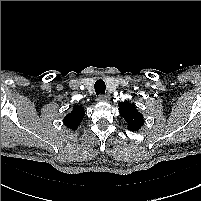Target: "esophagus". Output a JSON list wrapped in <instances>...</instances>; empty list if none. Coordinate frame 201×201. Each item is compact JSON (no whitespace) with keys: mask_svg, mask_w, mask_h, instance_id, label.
Segmentation results:
<instances>
[{"mask_svg":"<svg viewBox=\"0 0 201 201\" xmlns=\"http://www.w3.org/2000/svg\"><path fill=\"white\" fill-rule=\"evenodd\" d=\"M96 100L99 102H108V101H110V96L109 95H99Z\"/></svg>","mask_w":201,"mask_h":201,"instance_id":"34e87169","label":"esophagus"}]
</instances>
